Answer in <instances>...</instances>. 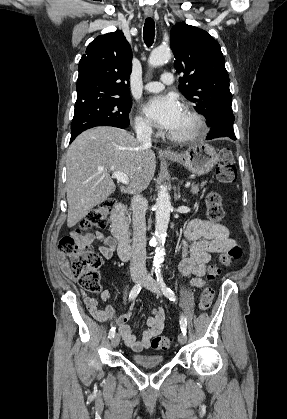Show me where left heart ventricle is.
<instances>
[{"instance_id": "1", "label": "left heart ventricle", "mask_w": 287, "mask_h": 419, "mask_svg": "<svg viewBox=\"0 0 287 419\" xmlns=\"http://www.w3.org/2000/svg\"><path fill=\"white\" fill-rule=\"evenodd\" d=\"M194 128L193 121L183 112L177 126L171 131L173 134H183Z\"/></svg>"}]
</instances>
